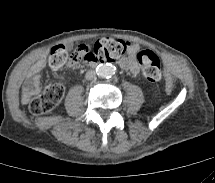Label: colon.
<instances>
[{
    "label": "colon",
    "mask_w": 215,
    "mask_h": 183,
    "mask_svg": "<svg viewBox=\"0 0 215 183\" xmlns=\"http://www.w3.org/2000/svg\"><path fill=\"white\" fill-rule=\"evenodd\" d=\"M126 44L120 40L102 38L93 45H80L71 54L70 59L79 63H107L117 60L124 54ZM67 48L63 44L54 46L50 51L49 65L59 68L66 62ZM138 60L143 67V74L150 83H156L161 79L160 60L150 51L144 50L138 53ZM64 86L61 83L49 85L39 96L29 101V108L34 114L50 113L61 101L64 95Z\"/></svg>",
    "instance_id": "colon-1"
}]
</instances>
